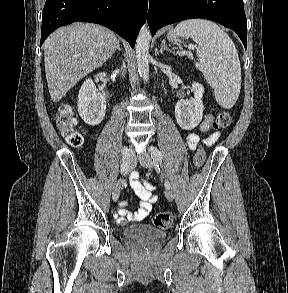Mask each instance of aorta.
<instances>
[{"instance_id":"obj_1","label":"aorta","mask_w":288,"mask_h":293,"mask_svg":"<svg viewBox=\"0 0 288 293\" xmlns=\"http://www.w3.org/2000/svg\"><path fill=\"white\" fill-rule=\"evenodd\" d=\"M151 40V34L147 24H144L139 32L136 41V58L137 67L140 77L144 81L149 80V42Z\"/></svg>"}]
</instances>
